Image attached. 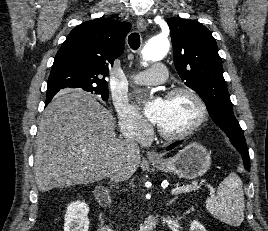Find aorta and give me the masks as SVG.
Wrapping results in <instances>:
<instances>
[{"instance_id":"aorta-1","label":"aorta","mask_w":268,"mask_h":231,"mask_svg":"<svg viewBox=\"0 0 268 231\" xmlns=\"http://www.w3.org/2000/svg\"><path fill=\"white\" fill-rule=\"evenodd\" d=\"M170 43L167 38L154 37L143 47L141 54L143 58V66H147L149 61H160L168 53Z\"/></svg>"}]
</instances>
